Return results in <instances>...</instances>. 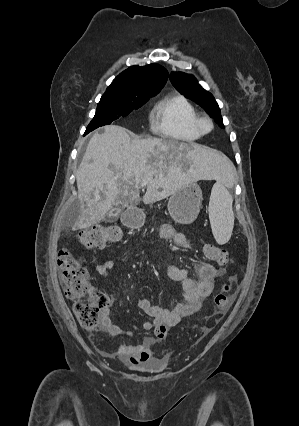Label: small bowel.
Returning a JSON list of instances; mask_svg holds the SVG:
<instances>
[{"mask_svg": "<svg viewBox=\"0 0 299 426\" xmlns=\"http://www.w3.org/2000/svg\"><path fill=\"white\" fill-rule=\"evenodd\" d=\"M160 237L173 241L181 248L189 246L185 235L177 232L170 225H163L160 228ZM114 268V261L107 259L97 264L95 271L102 277L109 278ZM194 272L195 277H191L185 269L173 265L167 268L168 276L172 280L180 282L184 292V301L178 303L173 309L153 305L146 298L137 299L140 309L151 317V320L143 322L142 328L145 331H154V337L146 336L138 343L119 346L112 353L106 351H101V353L107 357H117L129 366L154 359L155 344L166 337L169 327L177 325L183 318L199 310L202 302L212 293L214 282L221 274L220 270L205 262L197 263ZM113 302L114 298H111L108 306L100 313L101 327L113 336H132L133 331L124 329L113 322L110 312Z\"/></svg>", "mask_w": 299, "mask_h": 426, "instance_id": "obj_1", "label": "small bowel"}]
</instances>
